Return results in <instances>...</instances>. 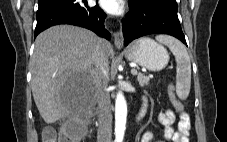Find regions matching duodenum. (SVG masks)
<instances>
[{
    "instance_id": "obj_1",
    "label": "duodenum",
    "mask_w": 227,
    "mask_h": 142,
    "mask_svg": "<svg viewBox=\"0 0 227 142\" xmlns=\"http://www.w3.org/2000/svg\"><path fill=\"white\" fill-rule=\"evenodd\" d=\"M145 112H146V104L144 103L143 106L141 107L140 111L137 114L138 121L144 117Z\"/></svg>"
}]
</instances>
